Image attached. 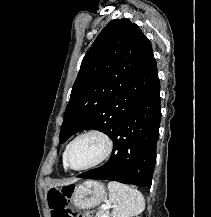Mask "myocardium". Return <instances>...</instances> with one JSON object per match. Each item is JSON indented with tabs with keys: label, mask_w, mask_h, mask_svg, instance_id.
Listing matches in <instances>:
<instances>
[{
	"label": "myocardium",
	"mask_w": 211,
	"mask_h": 217,
	"mask_svg": "<svg viewBox=\"0 0 211 217\" xmlns=\"http://www.w3.org/2000/svg\"><path fill=\"white\" fill-rule=\"evenodd\" d=\"M87 135H97L100 138H102L104 143H105V146H106L105 151H104L103 155L97 161H95L89 165L83 166V167L75 168L71 165L70 160H69V154H70L71 148L78 139H80L84 136H87ZM113 148H114L113 140L107 132H105L101 129H88V130H85V131L81 132L80 134H78L68 144L67 149H66V153H65V163L67 165V168L74 170V171L89 170V169L95 168V167L103 164L104 162H106L110 158V156L112 155Z\"/></svg>",
	"instance_id": "myocardium-1"
}]
</instances>
